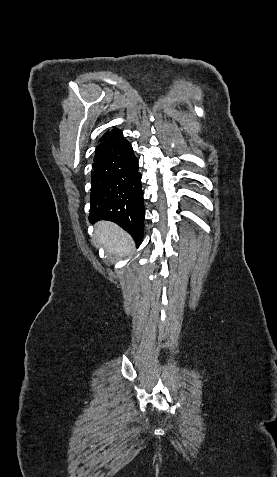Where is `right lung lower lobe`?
I'll return each mask as SVG.
<instances>
[{
  "label": "right lung lower lobe",
  "mask_w": 277,
  "mask_h": 477,
  "mask_svg": "<svg viewBox=\"0 0 277 477\" xmlns=\"http://www.w3.org/2000/svg\"><path fill=\"white\" fill-rule=\"evenodd\" d=\"M92 168L89 221L115 222L139 245L145 218L141 175L138 159L121 130L99 142Z\"/></svg>",
  "instance_id": "1"
}]
</instances>
